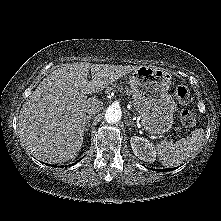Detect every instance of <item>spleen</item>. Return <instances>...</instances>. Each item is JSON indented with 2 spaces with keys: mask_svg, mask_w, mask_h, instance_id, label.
<instances>
[{
  "mask_svg": "<svg viewBox=\"0 0 221 221\" xmlns=\"http://www.w3.org/2000/svg\"><path fill=\"white\" fill-rule=\"evenodd\" d=\"M203 140V129H195L187 138H182L175 143L161 141L156 145L159 160L167 167L180 165L195 155Z\"/></svg>",
  "mask_w": 221,
  "mask_h": 221,
  "instance_id": "spleen-1",
  "label": "spleen"
}]
</instances>
